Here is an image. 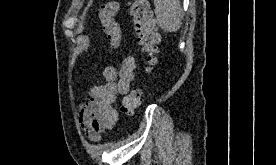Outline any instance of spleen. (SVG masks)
<instances>
[{
  "label": "spleen",
  "instance_id": "spleen-1",
  "mask_svg": "<svg viewBox=\"0 0 276 165\" xmlns=\"http://www.w3.org/2000/svg\"><path fill=\"white\" fill-rule=\"evenodd\" d=\"M155 15L164 32H175L180 29L183 10L180 0H153Z\"/></svg>",
  "mask_w": 276,
  "mask_h": 165
}]
</instances>
